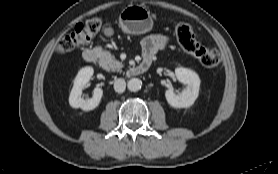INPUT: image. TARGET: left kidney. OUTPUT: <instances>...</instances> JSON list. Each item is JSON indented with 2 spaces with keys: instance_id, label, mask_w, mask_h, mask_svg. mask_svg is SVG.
Segmentation results:
<instances>
[{
  "instance_id": "5707ae66",
  "label": "left kidney",
  "mask_w": 278,
  "mask_h": 174,
  "mask_svg": "<svg viewBox=\"0 0 278 174\" xmlns=\"http://www.w3.org/2000/svg\"><path fill=\"white\" fill-rule=\"evenodd\" d=\"M175 75L179 82L186 85V89L180 94H175L173 89H167L165 91L166 100L172 107L188 108L198 97L200 78L194 71L183 67L176 68Z\"/></svg>"
}]
</instances>
